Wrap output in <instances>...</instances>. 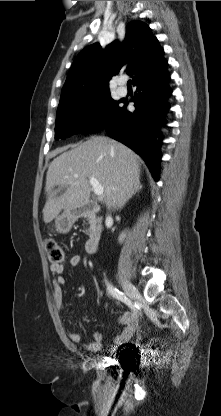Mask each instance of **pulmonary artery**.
Listing matches in <instances>:
<instances>
[{"instance_id":"e3ab8cb5","label":"pulmonary artery","mask_w":221,"mask_h":416,"mask_svg":"<svg viewBox=\"0 0 221 416\" xmlns=\"http://www.w3.org/2000/svg\"><path fill=\"white\" fill-rule=\"evenodd\" d=\"M118 93H119L121 96H125V95L127 94V89H126L125 87H123V86H119V88H118Z\"/></svg>"}]
</instances>
